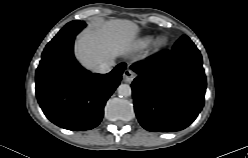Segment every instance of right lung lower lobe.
I'll return each mask as SVG.
<instances>
[{"label":"right lung lower lobe","mask_w":248,"mask_h":158,"mask_svg":"<svg viewBox=\"0 0 248 158\" xmlns=\"http://www.w3.org/2000/svg\"><path fill=\"white\" fill-rule=\"evenodd\" d=\"M83 22L64 26L45 47L36 70V96L46 117L59 127L84 131L102 120L104 106L118 87L125 63L108 74H92L74 58L75 36Z\"/></svg>","instance_id":"98d812e1"}]
</instances>
